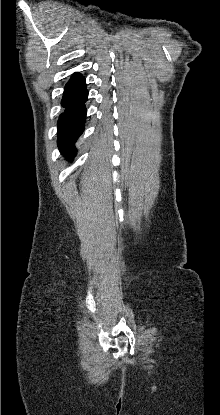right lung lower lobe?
<instances>
[{"mask_svg": "<svg viewBox=\"0 0 220 415\" xmlns=\"http://www.w3.org/2000/svg\"><path fill=\"white\" fill-rule=\"evenodd\" d=\"M87 98L85 78L79 73L73 74L65 86L61 101L65 110L58 120V147L69 160L76 155L75 142L84 130Z\"/></svg>", "mask_w": 220, "mask_h": 415, "instance_id": "98d812e1", "label": "right lung lower lobe"}]
</instances>
